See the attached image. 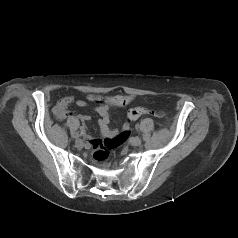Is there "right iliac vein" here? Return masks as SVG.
Returning a JSON list of instances; mask_svg holds the SVG:
<instances>
[{
  "mask_svg": "<svg viewBox=\"0 0 238 238\" xmlns=\"http://www.w3.org/2000/svg\"><path fill=\"white\" fill-rule=\"evenodd\" d=\"M75 144H76V146H77L78 148H82V147L84 146V142H83V140H81V139H77V140L75 141Z\"/></svg>",
  "mask_w": 238,
  "mask_h": 238,
  "instance_id": "right-iliac-vein-1",
  "label": "right iliac vein"
}]
</instances>
